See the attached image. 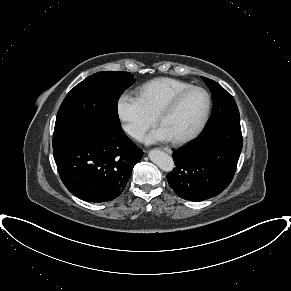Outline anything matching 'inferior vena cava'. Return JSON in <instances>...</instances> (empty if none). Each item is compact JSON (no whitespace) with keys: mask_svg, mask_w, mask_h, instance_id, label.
Here are the masks:
<instances>
[{"mask_svg":"<svg viewBox=\"0 0 291 291\" xmlns=\"http://www.w3.org/2000/svg\"><path fill=\"white\" fill-rule=\"evenodd\" d=\"M127 132L136 139H142L144 136V131L136 126H128Z\"/></svg>","mask_w":291,"mask_h":291,"instance_id":"602c4592","label":"inferior vena cava"}]
</instances>
